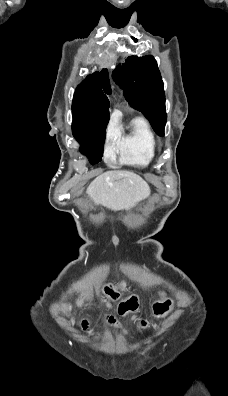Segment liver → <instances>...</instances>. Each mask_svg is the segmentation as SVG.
I'll use <instances>...</instances> for the list:
<instances>
[{
	"label": "liver",
	"mask_w": 228,
	"mask_h": 396,
	"mask_svg": "<svg viewBox=\"0 0 228 396\" xmlns=\"http://www.w3.org/2000/svg\"><path fill=\"white\" fill-rule=\"evenodd\" d=\"M97 205L111 210H128L150 195V187L139 175L112 170L99 175L87 188Z\"/></svg>",
	"instance_id": "obj_1"
}]
</instances>
